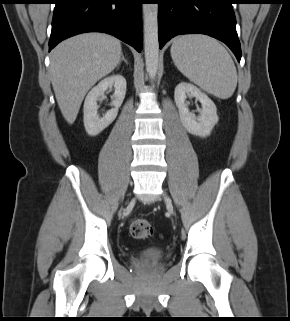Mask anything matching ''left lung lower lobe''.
I'll list each match as a JSON object with an SVG mask.
<instances>
[{
  "instance_id": "obj_1",
  "label": "left lung lower lobe",
  "mask_w": 290,
  "mask_h": 321,
  "mask_svg": "<svg viewBox=\"0 0 290 321\" xmlns=\"http://www.w3.org/2000/svg\"><path fill=\"white\" fill-rule=\"evenodd\" d=\"M159 4V45L176 35L198 33L224 42L241 59L232 8L234 0H156Z\"/></svg>"
}]
</instances>
